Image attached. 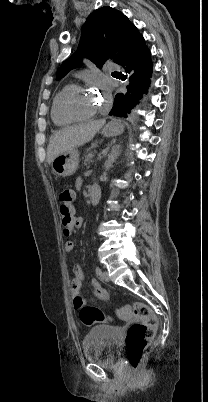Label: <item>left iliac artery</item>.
I'll return each instance as SVG.
<instances>
[{"label":"left iliac artery","mask_w":208,"mask_h":402,"mask_svg":"<svg viewBox=\"0 0 208 402\" xmlns=\"http://www.w3.org/2000/svg\"><path fill=\"white\" fill-rule=\"evenodd\" d=\"M95 272H96V275H97V276H101V273H102V272H101L100 267L97 266L96 269H95Z\"/></svg>","instance_id":"left-iliac-artery-1"}]
</instances>
